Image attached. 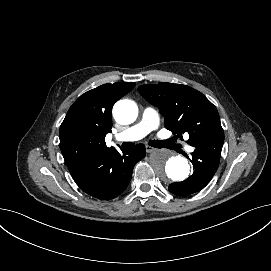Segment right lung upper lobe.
Instances as JSON below:
<instances>
[{"mask_svg": "<svg viewBox=\"0 0 271 271\" xmlns=\"http://www.w3.org/2000/svg\"><path fill=\"white\" fill-rule=\"evenodd\" d=\"M134 82L104 84L81 95L60 126V149L73 174L106 150L112 128V106L129 93Z\"/></svg>", "mask_w": 271, "mask_h": 271, "instance_id": "1", "label": "right lung upper lobe"}]
</instances>
